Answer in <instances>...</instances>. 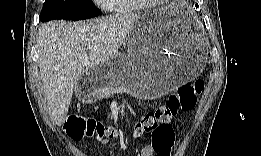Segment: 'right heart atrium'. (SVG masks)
<instances>
[{
  "instance_id": "right-heart-atrium-1",
  "label": "right heart atrium",
  "mask_w": 261,
  "mask_h": 156,
  "mask_svg": "<svg viewBox=\"0 0 261 156\" xmlns=\"http://www.w3.org/2000/svg\"><path fill=\"white\" fill-rule=\"evenodd\" d=\"M111 1L112 0H100L98 1V4L105 10H113Z\"/></svg>"
}]
</instances>
